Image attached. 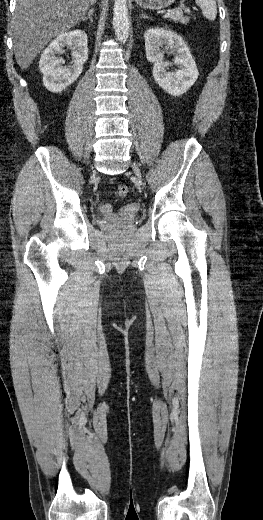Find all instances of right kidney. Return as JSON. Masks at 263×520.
Listing matches in <instances>:
<instances>
[{"label": "right kidney", "instance_id": "ca27d5eb", "mask_svg": "<svg viewBox=\"0 0 263 520\" xmlns=\"http://www.w3.org/2000/svg\"><path fill=\"white\" fill-rule=\"evenodd\" d=\"M88 37L83 30H74L57 36L43 51L39 68L43 74L44 86L53 93H60L77 80L88 59ZM72 50V64L64 67V60L57 57L63 48Z\"/></svg>", "mask_w": 263, "mask_h": 520}]
</instances>
